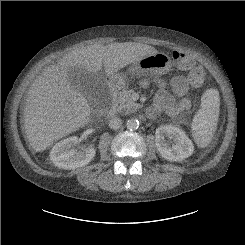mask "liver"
Instances as JSON below:
<instances>
[{"mask_svg": "<svg viewBox=\"0 0 245 245\" xmlns=\"http://www.w3.org/2000/svg\"><path fill=\"white\" fill-rule=\"evenodd\" d=\"M149 45L135 42L81 47L49 67L32 84L24 109V127L31 147L42 152L55 141L87 125L91 107L87 98L70 82L69 70L83 69L98 76L104 66L109 75L157 53Z\"/></svg>", "mask_w": 245, "mask_h": 245, "instance_id": "obj_1", "label": "liver"}]
</instances>
